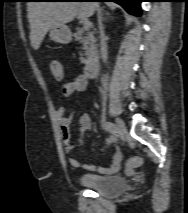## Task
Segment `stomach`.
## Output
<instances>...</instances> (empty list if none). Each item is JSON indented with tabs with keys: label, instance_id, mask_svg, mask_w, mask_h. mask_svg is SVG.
I'll return each mask as SVG.
<instances>
[{
	"label": "stomach",
	"instance_id": "1",
	"mask_svg": "<svg viewBox=\"0 0 188 213\" xmlns=\"http://www.w3.org/2000/svg\"><path fill=\"white\" fill-rule=\"evenodd\" d=\"M49 37L52 41L67 44L71 41L72 34L69 27L64 24L51 28L49 31Z\"/></svg>",
	"mask_w": 188,
	"mask_h": 213
}]
</instances>
